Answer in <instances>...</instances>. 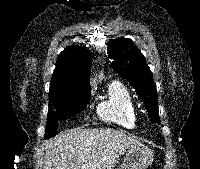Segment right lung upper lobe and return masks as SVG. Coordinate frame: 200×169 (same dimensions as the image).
<instances>
[{
    "mask_svg": "<svg viewBox=\"0 0 200 169\" xmlns=\"http://www.w3.org/2000/svg\"><path fill=\"white\" fill-rule=\"evenodd\" d=\"M92 63L89 50L69 46L62 51L52 75L49 100L91 92L88 74Z\"/></svg>",
    "mask_w": 200,
    "mask_h": 169,
    "instance_id": "right-lung-upper-lobe-1",
    "label": "right lung upper lobe"
}]
</instances>
